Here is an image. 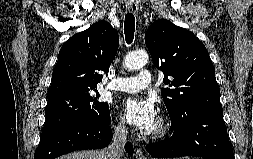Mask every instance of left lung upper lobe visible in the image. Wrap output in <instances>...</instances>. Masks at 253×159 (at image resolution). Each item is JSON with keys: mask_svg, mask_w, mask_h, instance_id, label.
<instances>
[{"mask_svg": "<svg viewBox=\"0 0 253 159\" xmlns=\"http://www.w3.org/2000/svg\"><path fill=\"white\" fill-rule=\"evenodd\" d=\"M145 43L155 67L165 74L163 82L171 87L162 89L161 95L172 124L190 108H221L215 69L206 47L192 32L158 20L146 31Z\"/></svg>", "mask_w": 253, "mask_h": 159, "instance_id": "left-lung-upper-lobe-1", "label": "left lung upper lobe"}]
</instances>
